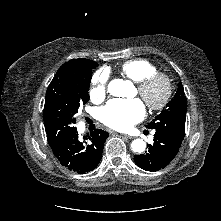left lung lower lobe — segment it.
<instances>
[{"mask_svg":"<svg viewBox=\"0 0 221 221\" xmlns=\"http://www.w3.org/2000/svg\"><path fill=\"white\" fill-rule=\"evenodd\" d=\"M153 140L145 154L134 156L135 163L147 171H158L167 166L178 153L183 138L171 131L157 129Z\"/></svg>","mask_w":221,"mask_h":221,"instance_id":"0a47b994","label":"left lung lower lobe"}]
</instances>
